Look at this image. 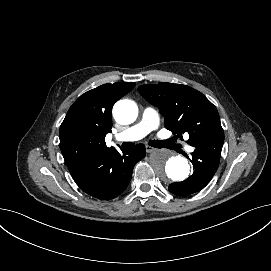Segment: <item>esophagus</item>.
I'll return each mask as SVG.
<instances>
[{"label": "esophagus", "instance_id": "34e87169", "mask_svg": "<svg viewBox=\"0 0 271 271\" xmlns=\"http://www.w3.org/2000/svg\"><path fill=\"white\" fill-rule=\"evenodd\" d=\"M145 148H146L147 153H152L157 150L156 148L149 146V145H146Z\"/></svg>", "mask_w": 271, "mask_h": 271}]
</instances>
